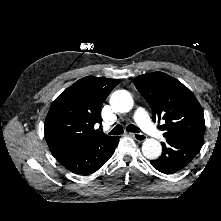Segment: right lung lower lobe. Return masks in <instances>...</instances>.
<instances>
[{
	"mask_svg": "<svg viewBox=\"0 0 221 221\" xmlns=\"http://www.w3.org/2000/svg\"><path fill=\"white\" fill-rule=\"evenodd\" d=\"M119 136L95 146L73 149L54 156L67 170L82 175L97 171L114 153Z\"/></svg>",
	"mask_w": 221,
	"mask_h": 221,
	"instance_id": "1",
	"label": "right lung lower lobe"
}]
</instances>
